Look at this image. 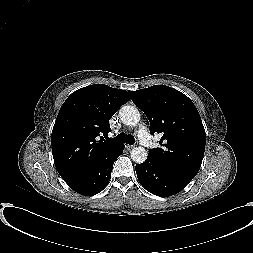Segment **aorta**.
I'll return each mask as SVG.
<instances>
[{
  "mask_svg": "<svg viewBox=\"0 0 253 253\" xmlns=\"http://www.w3.org/2000/svg\"><path fill=\"white\" fill-rule=\"evenodd\" d=\"M119 116L121 121L125 125L129 126H135L141 119L139 110L130 105L122 106L119 110ZM131 159L138 164L145 162L147 159V152L145 148L141 146L134 147L131 151Z\"/></svg>",
  "mask_w": 253,
  "mask_h": 253,
  "instance_id": "1",
  "label": "aorta"
}]
</instances>
